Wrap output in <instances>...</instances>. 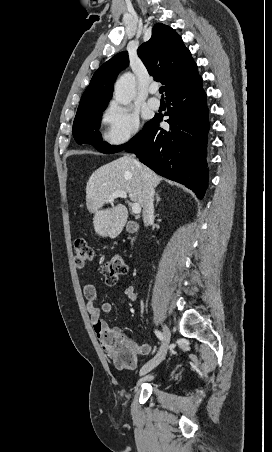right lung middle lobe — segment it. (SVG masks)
I'll list each match as a JSON object with an SVG mask.
<instances>
[{
	"instance_id": "1",
	"label": "right lung middle lobe",
	"mask_w": 272,
	"mask_h": 452,
	"mask_svg": "<svg viewBox=\"0 0 272 452\" xmlns=\"http://www.w3.org/2000/svg\"><path fill=\"white\" fill-rule=\"evenodd\" d=\"M105 108L106 107H94L77 113L73 123L72 133L78 144H92L100 152L112 154L126 149L137 139L138 135L121 146H111L106 142H102L98 128L100 126L101 112ZM147 125L148 123L144 126V129Z\"/></svg>"
}]
</instances>
